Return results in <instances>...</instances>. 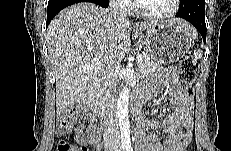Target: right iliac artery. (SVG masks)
<instances>
[{
	"instance_id": "obj_1",
	"label": "right iliac artery",
	"mask_w": 231,
	"mask_h": 151,
	"mask_svg": "<svg viewBox=\"0 0 231 151\" xmlns=\"http://www.w3.org/2000/svg\"><path fill=\"white\" fill-rule=\"evenodd\" d=\"M121 148L124 150V148H125V147H124V146H122Z\"/></svg>"
}]
</instances>
